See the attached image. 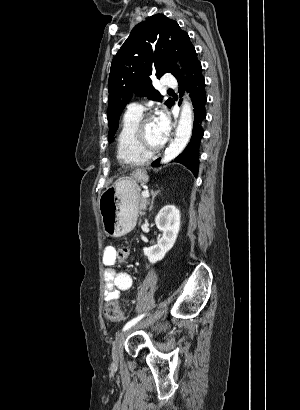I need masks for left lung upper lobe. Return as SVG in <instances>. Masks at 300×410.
I'll return each mask as SVG.
<instances>
[{
    "mask_svg": "<svg viewBox=\"0 0 300 410\" xmlns=\"http://www.w3.org/2000/svg\"><path fill=\"white\" fill-rule=\"evenodd\" d=\"M195 53L187 32L163 14L153 15L133 28L111 64L107 111L109 142L113 141L118 129L121 112L134 94L159 100L160 94L152 86L150 77L160 78L169 72L178 79L182 74L174 60H180L186 71ZM165 104L170 108L174 101L168 99Z\"/></svg>",
    "mask_w": 300,
    "mask_h": 410,
    "instance_id": "obj_1",
    "label": "left lung upper lobe"
}]
</instances>
